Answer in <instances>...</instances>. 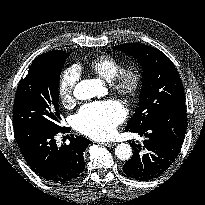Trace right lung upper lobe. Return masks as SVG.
<instances>
[{
  "instance_id": "obj_1",
  "label": "right lung upper lobe",
  "mask_w": 205,
  "mask_h": 205,
  "mask_svg": "<svg viewBox=\"0 0 205 205\" xmlns=\"http://www.w3.org/2000/svg\"><path fill=\"white\" fill-rule=\"evenodd\" d=\"M63 53H65V52L62 51V50L50 51V52L45 53V54H43L41 56H38L36 59H34L32 64H36V63H38L40 61H43V60H46V59L56 58V57L62 55Z\"/></svg>"
}]
</instances>
